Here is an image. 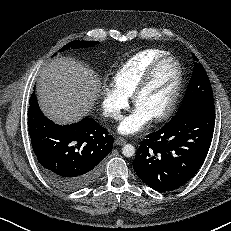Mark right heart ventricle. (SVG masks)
<instances>
[{"instance_id": "right-heart-ventricle-1", "label": "right heart ventricle", "mask_w": 231, "mask_h": 231, "mask_svg": "<svg viewBox=\"0 0 231 231\" xmlns=\"http://www.w3.org/2000/svg\"><path fill=\"white\" fill-rule=\"evenodd\" d=\"M165 54L167 52L160 49L138 52L116 71L113 77L114 85L125 95L131 97L149 65Z\"/></svg>"}]
</instances>
